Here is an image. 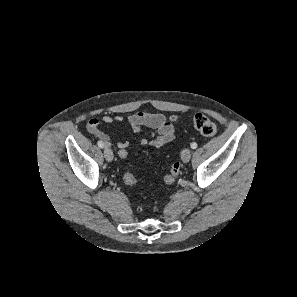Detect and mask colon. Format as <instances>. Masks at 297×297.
Here are the masks:
<instances>
[{"mask_svg":"<svg viewBox=\"0 0 297 297\" xmlns=\"http://www.w3.org/2000/svg\"><path fill=\"white\" fill-rule=\"evenodd\" d=\"M171 122L177 121L176 117L170 118ZM192 123L194 128L204 136L212 137L214 136L218 129L215 124L209 117L202 113H197L193 116ZM128 156V151L125 149L118 150V157L120 159H125ZM180 164L174 163L170 169V172L165 176L164 180L166 183H172L176 180L180 173ZM124 183L128 186H135L137 184V180L135 176L131 172H126L124 174Z\"/></svg>","mask_w":297,"mask_h":297,"instance_id":"5ec220e1","label":"colon"}]
</instances>
